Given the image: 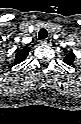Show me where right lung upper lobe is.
Wrapping results in <instances>:
<instances>
[{
    "mask_svg": "<svg viewBox=\"0 0 81 124\" xmlns=\"http://www.w3.org/2000/svg\"><path fill=\"white\" fill-rule=\"evenodd\" d=\"M29 51H30V47H26L24 49L17 50L14 62L21 63L22 61H24L26 59L27 55L29 54Z\"/></svg>",
    "mask_w": 81,
    "mask_h": 124,
    "instance_id": "obj_1",
    "label": "right lung upper lobe"
}]
</instances>
